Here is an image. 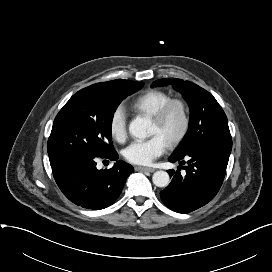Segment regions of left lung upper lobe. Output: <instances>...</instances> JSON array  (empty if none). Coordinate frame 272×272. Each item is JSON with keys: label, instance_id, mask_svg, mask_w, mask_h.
<instances>
[{"label": "left lung upper lobe", "instance_id": "left-lung-upper-lobe-1", "mask_svg": "<svg viewBox=\"0 0 272 272\" xmlns=\"http://www.w3.org/2000/svg\"><path fill=\"white\" fill-rule=\"evenodd\" d=\"M172 85L190 107L189 129L173 155L186 153L214 141L231 140L227 117L216 99L200 86L181 79H161L152 87Z\"/></svg>", "mask_w": 272, "mask_h": 272}]
</instances>
